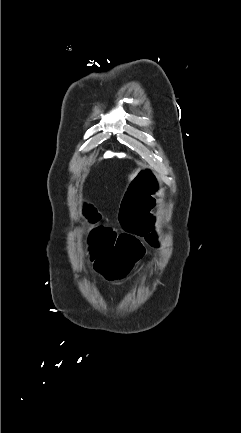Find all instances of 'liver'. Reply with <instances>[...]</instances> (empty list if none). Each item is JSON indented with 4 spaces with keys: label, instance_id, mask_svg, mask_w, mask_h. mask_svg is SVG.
Here are the masks:
<instances>
[{
    "label": "liver",
    "instance_id": "6515ba94",
    "mask_svg": "<svg viewBox=\"0 0 241 433\" xmlns=\"http://www.w3.org/2000/svg\"><path fill=\"white\" fill-rule=\"evenodd\" d=\"M135 175H136V173L131 174L130 179H132Z\"/></svg>",
    "mask_w": 241,
    "mask_h": 433
}]
</instances>
